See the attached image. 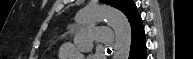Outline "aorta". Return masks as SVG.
Instances as JSON below:
<instances>
[{"instance_id":"1","label":"aorta","mask_w":193,"mask_h":59,"mask_svg":"<svg viewBox=\"0 0 193 59\" xmlns=\"http://www.w3.org/2000/svg\"><path fill=\"white\" fill-rule=\"evenodd\" d=\"M106 20L115 32L114 59H128L131 47V26L126 16L113 8L98 4H89L78 11L75 21L78 24H89ZM63 59H84L83 54L65 44L60 50Z\"/></svg>"}]
</instances>
